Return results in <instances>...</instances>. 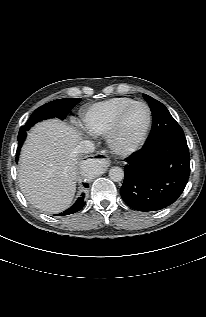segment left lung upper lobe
<instances>
[{
    "label": "left lung upper lobe",
    "instance_id": "5c2ea615",
    "mask_svg": "<svg viewBox=\"0 0 206 317\" xmlns=\"http://www.w3.org/2000/svg\"><path fill=\"white\" fill-rule=\"evenodd\" d=\"M144 98L149 103L153 114L152 130L144 146L165 140L186 142L182 128L171 116L167 108L161 102L148 95H144Z\"/></svg>",
    "mask_w": 206,
    "mask_h": 317
}]
</instances>
